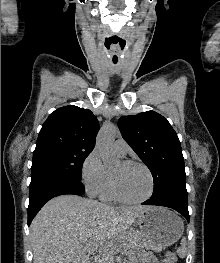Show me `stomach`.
<instances>
[{"mask_svg": "<svg viewBox=\"0 0 220 263\" xmlns=\"http://www.w3.org/2000/svg\"><path fill=\"white\" fill-rule=\"evenodd\" d=\"M140 242L146 248L166 247L179 240L184 231L183 221L174 212L162 207H150L136 220Z\"/></svg>", "mask_w": 220, "mask_h": 263, "instance_id": "stomach-1", "label": "stomach"}]
</instances>
